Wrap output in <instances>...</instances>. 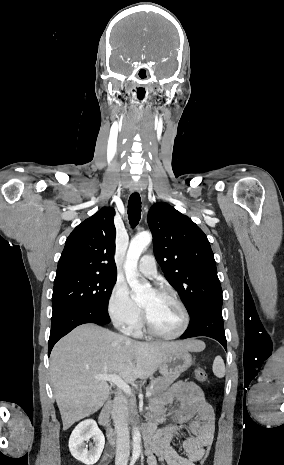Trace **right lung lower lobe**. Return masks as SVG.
<instances>
[{"label":"right lung lower lobe","mask_w":284,"mask_h":465,"mask_svg":"<svg viewBox=\"0 0 284 465\" xmlns=\"http://www.w3.org/2000/svg\"><path fill=\"white\" fill-rule=\"evenodd\" d=\"M109 322L110 318L107 311L84 306L67 308L52 316L48 355H50L55 343L78 325L85 323L104 325Z\"/></svg>","instance_id":"1"}]
</instances>
